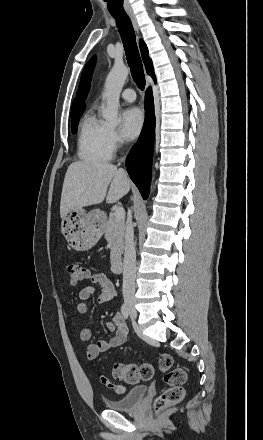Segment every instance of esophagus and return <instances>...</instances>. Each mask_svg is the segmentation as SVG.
Returning <instances> with one entry per match:
<instances>
[{
	"label": "esophagus",
	"instance_id": "obj_1",
	"mask_svg": "<svg viewBox=\"0 0 263 440\" xmlns=\"http://www.w3.org/2000/svg\"><path fill=\"white\" fill-rule=\"evenodd\" d=\"M127 15L129 16L135 31L137 32V34H139V26H138V22H137V19H136L134 12L132 10H127ZM147 86H148V83H147Z\"/></svg>",
	"mask_w": 263,
	"mask_h": 440
}]
</instances>
